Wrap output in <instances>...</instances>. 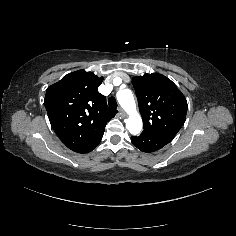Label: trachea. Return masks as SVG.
<instances>
[{"label":"trachea","instance_id":"trachea-1","mask_svg":"<svg viewBox=\"0 0 236 236\" xmlns=\"http://www.w3.org/2000/svg\"><path fill=\"white\" fill-rule=\"evenodd\" d=\"M108 105L110 108H117V101L115 99V97L111 96L109 99H108Z\"/></svg>","mask_w":236,"mask_h":236}]
</instances>
